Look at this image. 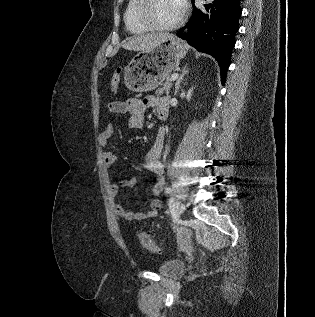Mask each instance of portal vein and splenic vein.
Wrapping results in <instances>:
<instances>
[{"label": "portal vein and splenic vein", "mask_w": 315, "mask_h": 317, "mask_svg": "<svg viewBox=\"0 0 315 317\" xmlns=\"http://www.w3.org/2000/svg\"><path fill=\"white\" fill-rule=\"evenodd\" d=\"M178 73H175L171 76V81H175L178 78Z\"/></svg>", "instance_id": "1"}]
</instances>
